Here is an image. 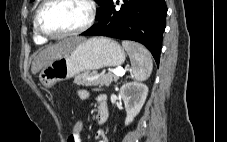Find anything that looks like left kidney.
I'll return each instance as SVG.
<instances>
[{
    "mask_svg": "<svg viewBox=\"0 0 227 142\" xmlns=\"http://www.w3.org/2000/svg\"><path fill=\"white\" fill-rule=\"evenodd\" d=\"M148 94V87L140 82H128L120 88V97L124 101L127 113L125 125L133 122L143 107Z\"/></svg>",
    "mask_w": 227,
    "mask_h": 142,
    "instance_id": "left-kidney-1",
    "label": "left kidney"
}]
</instances>
